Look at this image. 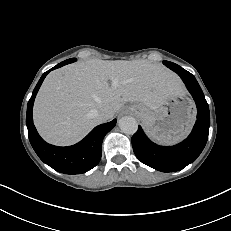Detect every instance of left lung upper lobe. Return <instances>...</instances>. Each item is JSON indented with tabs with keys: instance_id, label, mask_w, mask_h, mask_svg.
Returning a JSON list of instances; mask_svg holds the SVG:
<instances>
[{
	"instance_id": "1",
	"label": "left lung upper lobe",
	"mask_w": 231,
	"mask_h": 231,
	"mask_svg": "<svg viewBox=\"0 0 231 231\" xmlns=\"http://www.w3.org/2000/svg\"><path fill=\"white\" fill-rule=\"evenodd\" d=\"M163 63H164L167 67H169L170 69L179 68V67H180V66H178V65H176V64H174V63H172V62H168V61H163Z\"/></svg>"
}]
</instances>
